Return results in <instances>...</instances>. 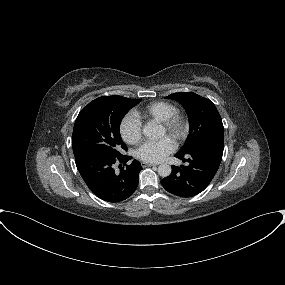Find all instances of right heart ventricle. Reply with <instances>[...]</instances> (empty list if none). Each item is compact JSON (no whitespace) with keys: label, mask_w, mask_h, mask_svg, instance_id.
Listing matches in <instances>:
<instances>
[{"label":"right heart ventricle","mask_w":285,"mask_h":285,"mask_svg":"<svg viewBox=\"0 0 285 285\" xmlns=\"http://www.w3.org/2000/svg\"><path fill=\"white\" fill-rule=\"evenodd\" d=\"M177 111L176 107L169 102L155 101L151 102L140 109H137L134 114L142 120H155L162 122Z\"/></svg>","instance_id":"right-heart-ventricle-1"}]
</instances>
